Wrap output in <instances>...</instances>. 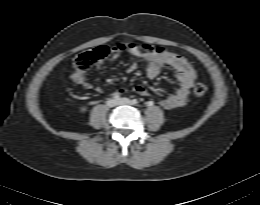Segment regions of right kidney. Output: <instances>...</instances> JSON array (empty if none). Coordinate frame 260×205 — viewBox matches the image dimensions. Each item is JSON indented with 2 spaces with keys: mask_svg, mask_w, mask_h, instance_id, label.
I'll return each mask as SVG.
<instances>
[{
  "mask_svg": "<svg viewBox=\"0 0 260 205\" xmlns=\"http://www.w3.org/2000/svg\"><path fill=\"white\" fill-rule=\"evenodd\" d=\"M85 110H86V107H82L80 111L84 112Z\"/></svg>",
  "mask_w": 260,
  "mask_h": 205,
  "instance_id": "ca27d5eb",
  "label": "right kidney"
}]
</instances>
